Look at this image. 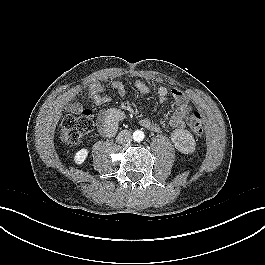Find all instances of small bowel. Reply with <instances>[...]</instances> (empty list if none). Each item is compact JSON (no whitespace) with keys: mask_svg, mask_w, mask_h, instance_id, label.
I'll return each mask as SVG.
<instances>
[{"mask_svg":"<svg viewBox=\"0 0 265 265\" xmlns=\"http://www.w3.org/2000/svg\"><path fill=\"white\" fill-rule=\"evenodd\" d=\"M135 89L142 95L150 92V86L141 79L134 81ZM111 89L119 95L125 94V85L121 80H114L111 83ZM73 94V93H71ZM88 99L95 105L101 106L111 100L107 94L106 88L99 82H92L89 85ZM158 100L161 103L171 98L175 105V110L170 118V125L174 129L171 134V140L175 148L183 154H191L195 150V141L190 132L185 128L186 120L192 110L189 97L186 93L178 88L169 90L166 86H159L157 89ZM68 110L72 113H78L81 106L78 103H70ZM125 117V111L121 108H111L99 113L98 130L105 137H112L117 131L120 121ZM140 124L149 130L159 131L160 125L148 118L140 120Z\"/></svg>","mask_w":265,"mask_h":265,"instance_id":"small-bowel-1","label":"small bowel"}]
</instances>
